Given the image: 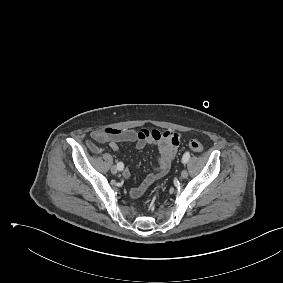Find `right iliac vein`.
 <instances>
[{
	"mask_svg": "<svg viewBox=\"0 0 283 283\" xmlns=\"http://www.w3.org/2000/svg\"><path fill=\"white\" fill-rule=\"evenodd\" d=\"M118 171H119V169L117 168V166H112L111 167V172L113 173V174H116V173H118Z\"/></svg>",
	"mask_w": 283,
	"mask_h": 283,
	"instance_id": "obj_1",
	"label": "right iliac vein"
}]
</instances>
